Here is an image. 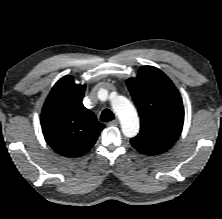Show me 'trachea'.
Listing matches in <instances>:
<instances>
[{
  "label": "trachea",
  "mask_w": 222,
  "mask_h": 219,
  "mask_svg": "<svg viewBox=\"0 0 222 219\" xmlns=\"http://www.w3.org/2000/svg\"><path fill=\"white\" fill-rule=\"evenodd\" d=\"M115 117H114V114L112 113V111L110 109H104L102 111V114H101V117H100V120L102 122H108V121H111L113 120Z\"/></svg>",
  "instance_id": "obj_1"
}]
</instances>
